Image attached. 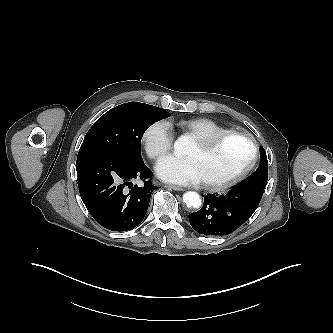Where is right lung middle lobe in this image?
I'll use <instances>...</instances> for the list:
<instances>
[{"label":"right lung middle lobe","mask_w":333,"mask_h":333,"mask_svg":"<svg viewBox=\"0 0 333 333\" xmlns=\"http://www.w3.org/2000/svg\"><path fill=\"white\" fill-rule=\"evenodd\" d=\"M170 113L152 105L129 102L106 112L89 129L79 154L107 152L142 161L141 138L153 123Z\"/></svg>","instance_id":"1"}]
</instances>
